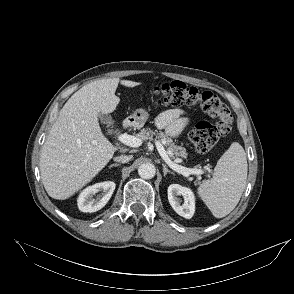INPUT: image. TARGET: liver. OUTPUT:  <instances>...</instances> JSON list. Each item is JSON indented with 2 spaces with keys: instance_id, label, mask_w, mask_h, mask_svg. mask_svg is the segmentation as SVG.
Wrapping results in <instances>:
<instances>
[{
  "instance_id": "1",
  "label": "liver",
  "mask_w": 294,
  "mask_h": 294,
  "mask_svg": "<svg viewBox=\"0 0 294 294\" xmlns=\"http://www.w3.org/2000/svg\"><path fill=\"white\" fill-rule=\"evenodd\" d=\"M119 82L131 88L141 84L119 78L96 80L75 92L60 110L40 155L41 179L50 197H71L91 182L118 150L103 135L98 118L118 106L120 98L115 91Z\"/></svg>"
}]
</instances>
